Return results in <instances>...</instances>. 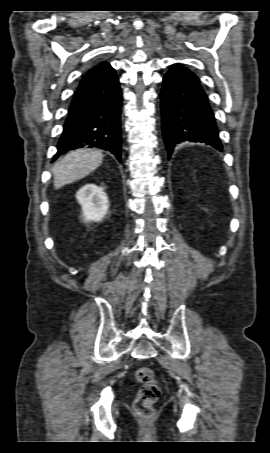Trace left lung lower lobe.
Here are the masks:
<instances>
[{"mask_svg":"<svg viewBox=\"0 0 270 453\" xmlns=\"http://www.w3.org/2000/svg\"><path fill=\"white\" fill-rule=\"evenodd\" d=\"M160 96L168 158L184 142L205 143L222 150L214 113L199 78L193 72L173 66L164 76Z\"/></svg>","mask_w":270,"mask_h":453,"instance_id":"0a47b994","label":"left lung lower lobe"}]
</instances>
